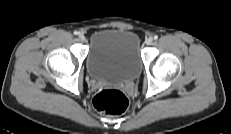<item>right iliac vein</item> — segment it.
Masks as SVG:
<instances>
[{"label":"right iliac vein","mask_w":231,"mask_h":134,"mask_svg":"<svg viewBox=\"0 0 231 134\" xmlns=\"http://www.w3.org/2000/svg\"><path fill=\"white\" fill-rule=\"evenodd\" d=\"M78 39H79V41L83 42L85 40L84 34L83 33H79L78 34Z\"/></svg>","instance_id":"1"}]
</instances>
